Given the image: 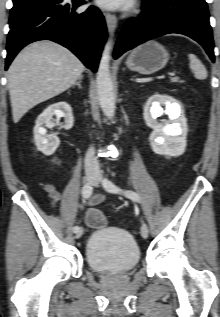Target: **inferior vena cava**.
<instances>
[{"label":"inferior vena cava","mask_w":220,"mask_h":317,"mask_svg":"<svg viewBox=\"0 0 220 317\" xmlns=\"http://www.w3.org/2000/svg\"><path fill=\"white\" fill-rule=\"evenodd\" d=\"M85 170L98 172L99 171V163L97 157L95 156L94 147H90L85 156Z\"/></svg>","instance_id":"602c4592"}]
</instances>
